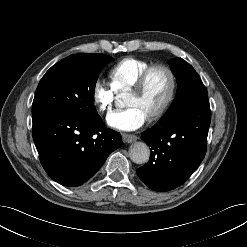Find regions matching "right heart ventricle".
I'll return each mask as SVG.
<instances>
[{
    "mask_svg": "<svg viewBox=\"0 0 247 247\" xmlns=\"http://www.w3.org/2000/svg\"><path fill=\"white\" fill-rule=\"evenodd\" d=\"M151 65L146 60L134 57L121 60L109 72L112 87L118 93L130 90L140 75Z\"/></svg>",
    "mask_w": 247,
    "mask_h": 247,
    "instance_id": "1",
    "label": "right heart ventricle"
}]
</instances>
